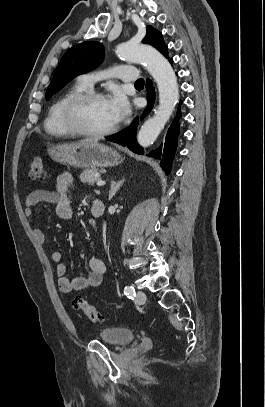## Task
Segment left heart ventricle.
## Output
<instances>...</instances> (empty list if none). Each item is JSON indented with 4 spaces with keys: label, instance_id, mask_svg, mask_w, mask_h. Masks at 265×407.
<instances>
[{
    "label": "left heart ventricle",
    "instance_id": "obj_1",
    "mask_svg": "<svg viewBox=\"0 0 265 407\" xmlns=\"http://www.w3.org/2000/svg\"><path fill=\"white\" fill-rule=\"evenodd\" d=\"M80 120L86 129L92 131L107 130L116 124L106 99L95 100L87 104L81 111Z\"/></svg>",
    "mask_w": 265,
    "mask_h": 407
}]
</instances>
